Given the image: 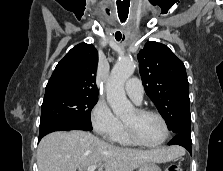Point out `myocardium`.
Listing matches in <instances>:
<instances>
[{
	"mask_svg": "<svg viewBox=\"0 0 223 171\" xmlns=\"http://www.w3.org/2000/svg\"><path fill=\"white\" fill-rule=\"evenodd\" d=\"M135 111L139 115L149 114V115L156 116L161 121V123L163 125V128H164V136L161 139V141H159L156 144H146V143L142 142L136 136V134L134 133V131L126 123L123 122V129H124V132H125L127 138L133 144H135L137 146H140V147H144V148H157V147H160L161 145H163L167 141V139L169 138V135H170V128H169L168 122L165 119V117L160 112H158L156 110H153V109H149V108L138 107V108H135Z\"/></svg>",
	"mask_w": 223,
	"mask_h": 171,
	"instance_id": "1",
	"label": "myocardium"
}]
</instances>
